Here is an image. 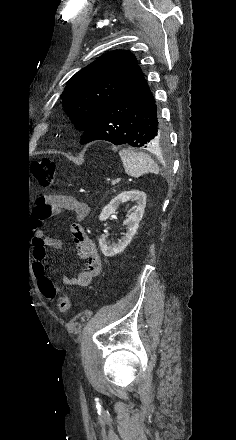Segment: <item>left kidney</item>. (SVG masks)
<instances>
[{"mask_svg":"<svg viewBox=\"0 0 236 440\" xmlns=\"http://www.w3.org/2000/svg\"><path fill=\"white\" fill-rule=\"evenodd\" d=\"M146 194L143 191L132 190L124 191L117 195L106 205L99 215L100 221H106L110 215L114 214L117 208L126 201H134L136 203L135 210L130 213L123 224L126 225V234L118 241L117 244L108 245L107 238L104 234L99 238V246L102 253L106 257L114 256L122 252L128 244H130L133 236L139 227V223L143 217L146 206Z\"/></svg>","mask_w":236,"mask_h":440,"instance_id":"5707ae66","label":"left kidney"}]
</instances>
